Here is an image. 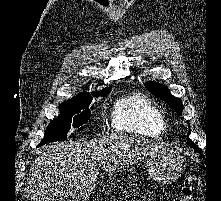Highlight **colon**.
Here are the masks:
<instances>
[{"label":"colon","mask_w":221,"mask_h":201,"mask_svg":"<svg viewBox=\"0 0 221 201\" xmlns=\"http://www.w3.org/2000/svg\"><path fill=\"white\" fill-rule=\"evenodd\" d=\"M182 200L183 201H196L193 196V191L190 187L185 186L182 188Z\"/></svg>","instance_id":"colon-1"}]
</instances>
